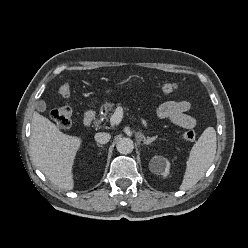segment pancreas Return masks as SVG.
<instances>
[{"label": "pancreas", "instance_id": "pancreas-1", "mask_svg": "<svg viewBox=\"0 0 248 248\" xmlns=\"http://www.w3.org/2000/svg\"><path fill=\"white\" fill-rule=\"evenodd\" d=\"M113 106H114L113 103H108V102H106L103 105L104 110H105V114L101 117V119H107L108 118V112L113 110ZM100 123H101V120H96L94 126L99 127Z\"/></svg>", "mask_w": 248, "mask_h": 248}]
</instances>
